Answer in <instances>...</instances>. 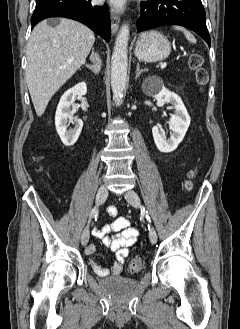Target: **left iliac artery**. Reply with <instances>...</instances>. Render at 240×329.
I'll return each instance as SVG.
<instances>
[{
    "instance_id": "obj_1",
    "label": "left iliac artery",
    "mask_w": 240,
    "mask_h": 329,
    "mask_svg": "<svg viewBox=\"0 0 240 329\" xmlns=\"http://www.w3.org/2000/svg\"><path fill=\"white\" fill-rule=\"evenodd\" d=\"M141 212L143 213V214H145L146 215V218H147V220L148 221H150V217H149V215H148V212L145 210V208L143 207V208H141Z\"/></svg>"
}]
</instances>
